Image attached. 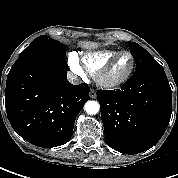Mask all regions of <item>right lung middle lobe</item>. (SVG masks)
Wrapping results in <instances>:
<instances>
[{
	"instance_id": "right-lung-middle-lobe-1",
	"label": "right lung middle lobe",
	"mask_w": 178,
	"mask_h": 178,
	"mask_svg": "<svg viewBox=\"0 0 178 178\" xmlns=\"http://www.w3.org/2000/svg\"><path fill=\"white\" fill-rule=\"evenodd\" d=\"M66 49L63 44L55 41L48 36L41 35L34 39L31 44L20 53V59H50V58H64Z\"/></svg>"
}]
</instances>
